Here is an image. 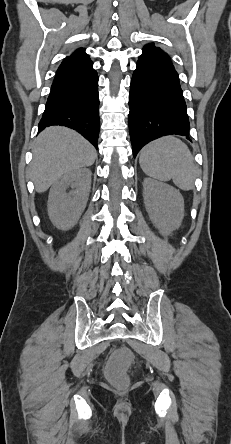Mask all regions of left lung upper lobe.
<instances>
[{
	"instance_id": "1",
	"label": "left lung upper lobe",
	"mask_w": 231,
	"mask_h": 444,
	"mask_svg": "<svg viewBox=\"0 0 231 444\" xmlns=\"http://www.w3.org/2000/svg\"><path fill=\"white\" fill-rule=\"evenodd\" d=\"M144 48H152V49L161 50L160 48L155 47L154 44H148V45L144 46Z\"/></svg>"
}]
</instances>
